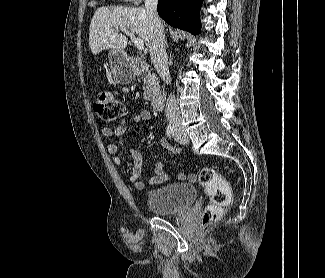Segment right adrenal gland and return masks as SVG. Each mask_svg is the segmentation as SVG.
<instances>
[{
    "instance_id": "1",
    "label": "right adrenal gland",
    "mask_w": 325,
    "mask_h": 278,
    "mask_svg": "<svg viewBox=\"0 0 325 278\" xmlns=\"http://www.w3.org/2000/svg\"><path fill=\"white\" fill-rule=\"evenodd\" d=\"M166 47H168L167 41H165Z\"/></svg>"
}]
</instances>
